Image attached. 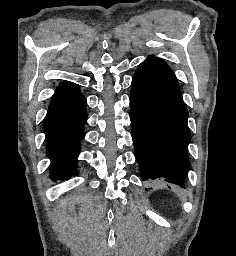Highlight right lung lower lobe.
<instances>
[{"mask_svg": "<svg viewBox=\"0 0 236 256\" xmlns=\"http://www.w3.org/2000/svg\"><path fill=\"white\" fill-rule=\"evenodd\" d=\"M86 99L74 84L52 97L44 124L51 179H69L77 168L80 143L87 120Z\"/></svg>", "mask_w": 236, "mask_h": 256, "instance_id": "98d812e1", "label": "right lung lower lobe"}]
</instances>
